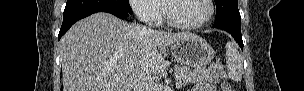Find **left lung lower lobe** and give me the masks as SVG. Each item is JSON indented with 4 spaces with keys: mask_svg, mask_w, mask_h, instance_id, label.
I'll use <instances>...</instances> for the list:
<instances>
[{
    "mask_svg": "<svg viewBox=\"0 0 304 91\" xmlns=\"http://www.w3.org/2000/svg\"><path fill=\"white\" fill-rule=\"evenodd\" d=\"M241 16L239 12L231 13L216 21L213 27L226 30L231 33L240 48L243 50V41L240 30Z\"/></svg>",
    "mask_w": 304,
    "mask_h": 91,
    "instance_id": "obj_1",
    "label": "left lung lower lobe"
}]
</instances>
